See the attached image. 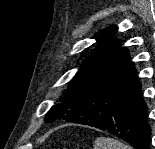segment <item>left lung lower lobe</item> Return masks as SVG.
Masks as SVG:
<instances>
[{"mask_svg":"<svg viewBox=\"0 0 155 149\" xmlns=\"http://www.w3.org/2000/svg\"><path fill=\"white\" fill-rule=\"evenodd\" d=\"M146 117L141 84L122 48L113 65L81 94L65 120L107 130L135 149H149L151 129Z\"/></svg>","mask_w":155,"mask_h":149,"instance_id":"0a47b994","label":"left lung lower lobe"}]
</instances>
